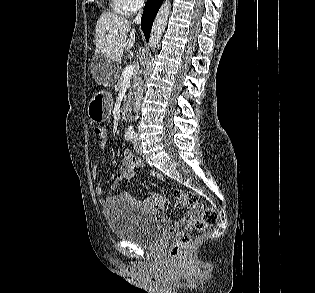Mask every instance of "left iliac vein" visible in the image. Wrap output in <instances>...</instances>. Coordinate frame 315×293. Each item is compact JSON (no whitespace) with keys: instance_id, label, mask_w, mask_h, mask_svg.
Wrapping results in <instances>:
<instances>
[{"instance_id":"4c4485c4","label":"left iliac vein","mask_w":315,"mask_h":293,"mask_svg":"<svg viewBox=\"0 0 315 293\" xmlns=\"http://www.w3.org/2000/svg\"><path fill=\"white\" fill-rule=\"evenodd\" d=\"M134 149L137 153L142 152V143H141V140L139 138H136L134 140Z\"/></svg>"}]
</instances>
